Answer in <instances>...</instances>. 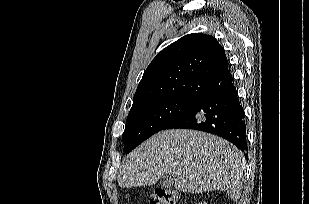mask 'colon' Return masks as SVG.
I'll use <instances>...</instances> for the list:
<instances>
[{
  "label": "colon",
  "mask_w": 309,
  "mask_h": 204,
  "mask_svg": "<svg viewBox=\"0 0 309 204\" xmlns=\"http://www.w3.org/2000/svg\"><path fill=\"white\" fill-rule=\"evenodd\" d=\"M178 192L169 188L157 189L150 198V204H177Z\"/></svg>",
  "instance_id": "obj_1"
}]
</instances>
